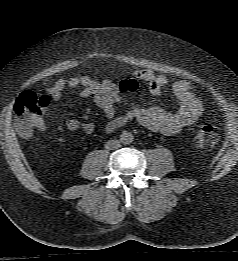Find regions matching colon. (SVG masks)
I'll list each match as a JSON object with an SVG mask.
<instances>
[{"label": "colon", "instance_id": "5ec220e1", "mask_svg": "<svg viewBox=\"0 0 238 261\" xmlns=\"http://www.w3.org/2000/svg\"><path fill=\"white\" fill-rule=\"evenodd\" d=\"M137 82L133 79H125L120 82L121 91H134ZM51 105V101L44 95L38 96L33 92H24L15 104V127L23 137H30L34 130L39 129L43 123L42 112ZM219 140V134L212 125L199 127L195 135V143L198 147L208 149Z\"/></svg>", "mask_w": 238, "mask_h": 261}]
</instances>
